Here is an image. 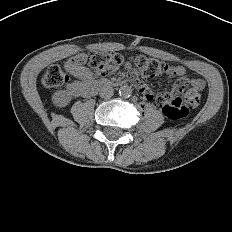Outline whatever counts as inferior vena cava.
Segmentation results:
<instances>
[{
    "label": "inferior vena cava",
    "instance_id": "obj_1",
    "mask_svg": "<svg viewBox=\"0 0 232 232\" xmlns=\"http://www.w3.org/2000/svg\"><path fill=\"white\" fill-rule=\"evenodd\" d=\"M100 97L108 99L114 95V89L111 86H103L99 92Z\"/></svg>",
    "mask_w": 232,
    "mask_h": 232
}]
</instances>
